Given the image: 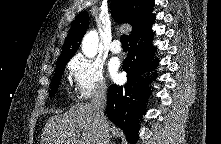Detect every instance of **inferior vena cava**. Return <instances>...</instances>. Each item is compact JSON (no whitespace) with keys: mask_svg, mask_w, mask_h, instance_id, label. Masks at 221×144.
Here are the masks:
<instances>
[{"mask_svg":"<svg viewBox=\"0 0 221 144\" xmlns=\"http://www.w3.org/2000/svg\"><path fill=\"white\" fill-rule=\"evenodd\" d=\"M107 104V87L101 85L90 102V106L94 111L95 119L99 125V139L98 144H109V127L106 117L104 116V109Z\"/></svg>","mask_w":221,"mask_h":144,"instance_id":"obj_1","label":"inferior vena cava"}]
</instances>
